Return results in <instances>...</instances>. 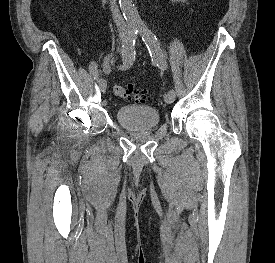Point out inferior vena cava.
<instances>
[{
    "instance_id": "obj_1",
    "label": "inferior vena cava",
    "mask_w": 275,
    "mask_h": 263,
    "mask_svg": "<svg viewBox=\"0 0 275 263\" xmlns=\"http://www.w3.org/2000/svg\"><path fill=\"white\" fill-rule=\"evenodd\" d=\"M110 7H111L112 14H113L114 22H115L119 32L121 34L126 33L127 26H126L124 19L122 18V16L119 13V9H118L116 0H110Z\"/></svg>"
}]
</instances>
